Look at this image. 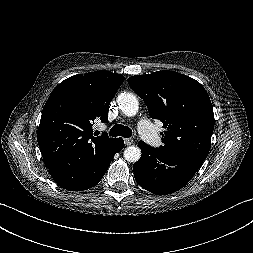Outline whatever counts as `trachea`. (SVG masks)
Here are the masks:
<instances>
[{
	"label": "trachea",
	"instance_id": "1",
	"mask_svg": "<svg viewBox=\"0 0 253 253\" xmlns=\"http://www.w3.org/2000/svg\"><path fill=\"white\" fill-rule=\"evenodd\" d=\"M109 135L113 137L122 136L129 138L132 136V130L128 126L116 124L110 129Z\"/></svg>",
	"mask_w": 253,
	"mask_h": 253
}]
</instances>
